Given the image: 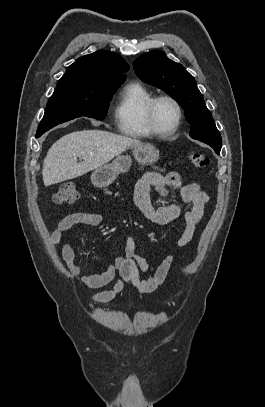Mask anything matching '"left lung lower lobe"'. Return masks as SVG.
<instances>
[{
	"mask_svg": "<svg viewBox=\"0 0 265 407\" xmlns=\"http://www.w3.org/2000/svg\"><path fill=\"white\" fill-rule=\"evenodd\" d=\"M209 145V144H208ZM214 150H215V152L217 153V154H219L220 153V150L221 149H219L217 146H214V145H210Z\"/></svg>",
	"mask_w": 265,
	"mask_h": 407,
	"instance_id": "0a47b994",
	"label": "left lung lower lobe"
}]
</instances>
